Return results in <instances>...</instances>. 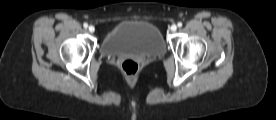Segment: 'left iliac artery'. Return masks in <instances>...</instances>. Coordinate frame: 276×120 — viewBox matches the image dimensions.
<instances>
[{
	"mask_svg": "<svg viewBox=\"0 0 276 120\" xmlns=\"http://www.w3.org/2000/svg\"><path fill=\"white\" fill-rule=\"evenodd\" d=\"M178 27H182V23L181 22H178Z\"/></svg>",
	"mask_w": 276,
	"mask_h": 120,
	"instance_id": "1",
	"label": "left iliac artery"
}]
</instances>
